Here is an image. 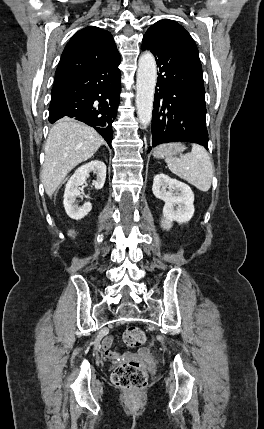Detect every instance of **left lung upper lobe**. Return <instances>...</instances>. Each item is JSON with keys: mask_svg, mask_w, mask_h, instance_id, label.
Wrapping results in <instances>:
<instances>
[{"mask_svg": "<svg viewBox=\"0 0 264 429\" xmlns=\"http://www.w3.org/2000/svg\"><path fill=\"white\" fill-rule=\"evenodd\" d=\"M146 33L156 35L183 49L196 67L202 71L198 49L189 33L177 22L164 19L152 25Z\"/></svg>", "mask_w": 264, "mask_h": 429, "instance_id": "obj_1", "label": "left lung upper lobe"}]
</instances>
